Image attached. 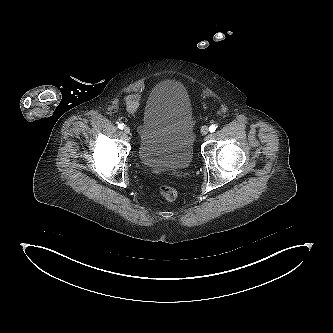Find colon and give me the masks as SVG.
Segmentation results:
<instances>
[{
	"mask_svg": "<svg viewBox=\"0 0 333 333\" xmlns=\"http://www.w3.org/2000/svg\"><path fill=\"white\" fill-rule=\"evenodd\" d=\"M159 194L166 201H174L177 198V191L174 187L162 185L159 188Z\"/></svg>",
	"mask_w": 333,
	"mask_h": 333,
	"instance_id": "5ec220e1",
	"label": "colon"
}]
</instances>
